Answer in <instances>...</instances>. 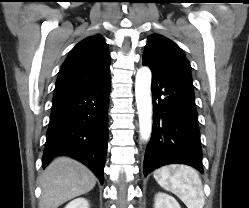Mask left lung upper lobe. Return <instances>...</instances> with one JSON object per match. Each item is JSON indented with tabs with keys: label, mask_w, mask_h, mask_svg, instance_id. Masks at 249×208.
<instances>
[{
	"label": "left lung upper lobe",
	"mask_w": 249,
	"mask_h": 208,
	"mask_svg": "<svg viewBox=\"0 0 249 208\" xmlns=\"http://www.w3.org/2000/svg\"><path fill=\"white\" fill-rule=\"evenodd\" d=\"M143 62L155 70L177 76L193 86L189 61L183 51L166 37L154 34L148 38Z\"/></svg>",
	"instance_id": "left-lung-upper-lobe-1"
}]
</instances>
